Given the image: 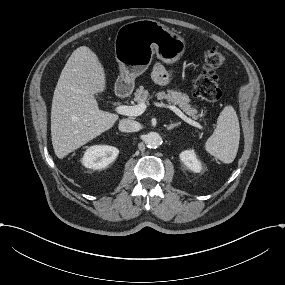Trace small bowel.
<instances>
[{"instance_id":"obj_1","label":"small bowel","mask_w":285,"mask_h":285,"mask_svg":"<svg viewBox=\"0 0 285 285\" xmlns=\"http://www.w3.org/2000/svg\"><path fill=\"white\" fill-rule=\"evenodd\" d=\"M153 80L159 85H166L170 80V76L166 68L162 64H157L152 72Z\"/></svg>"}]
</instances>
